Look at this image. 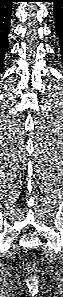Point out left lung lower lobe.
Here are the masks:
<instances>
[{"label":"left lung lower lobe","instance_id":"obj_1","mask_svg":"<svg viewBox=\"0 0 63 297\" xmlns=\"http://www.w3.org/2000/svg\"><path fill=\"white\" fill-rule=\"evenodd\" d=\"M54 3L55 29L60 40V49L63 59V0H49Z\"/></svg>","mask_w":63,"mask_h":297}]
</instances>
